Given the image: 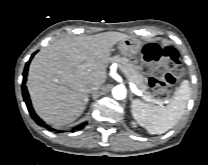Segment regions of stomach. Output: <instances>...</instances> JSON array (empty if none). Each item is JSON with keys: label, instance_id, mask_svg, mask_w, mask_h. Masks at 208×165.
<instances>
[{"label": "stomach", "instance_id": "stomach-1", "mask_svg": "<svg viewBox=\"0 0 208 165\" xmlns=\"http://www.w3.org/2000/svg\"><path fill=\"white\" fill-rule=\"evenodd\" d=\"M119 48L123 56H125L126 53L131 52L137 57L140 52L141 46L138 42L132 39H126L120 41Z\"/></svg>", "mask_w": 208, "mask_h": 165}]
</instances>
